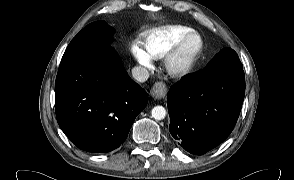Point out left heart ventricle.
<instances>
[{"label":"left heart ventricle","mask_w":294,"mask_h":180,"mask_svg":"<svg viewBox=\"0 0 294 180\" xmlns=\"http://www.w3.org/2000/svg\"><path fill=\"white\" fill-rule=\"evenodd\" d=\"M197 46H198L197 39H192L191 41H189L183 49L181 59H186L187 57H189L197 48Z\"/></svg>","instance_id":"left-heart-ventricle-1"}]
</instances>
